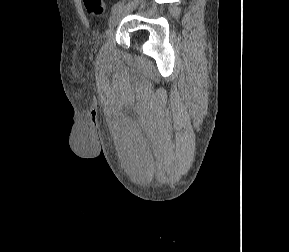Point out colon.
I'll use <instances>...</instances> for the list:
<instances>
[{"label": "colon", "instance_id": "obj_1", "mask_svg": "<svg viewBox=\"0 0 289 252\" xmlns=\"http://www.w3.org/2000/svg\"><path fill=\"white\" fill-rule=\"evenodd\" d=\"M87 12L92 16H100L104 13V0H83Z\"/></svg>", "mask_w": 289, "mask_h": 252}]
</instances>
